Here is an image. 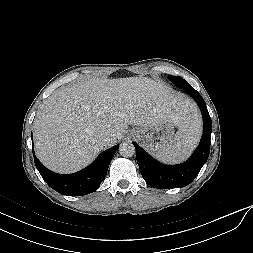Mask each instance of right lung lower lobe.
I'll list each match as a JSON object with an SVG mask.
<instances>
[{
  "instance_id": "1",
  "label": "right lung lower lobe",
  "mask_w": 253,
  "mask_h": 253,
  "mask_svg": "<svg viewBox=\"0 0 253 253\" xmlns=\"http://www.w3.org/2000/svg\"><path fill=\"white\" fill-rule=\"evenodd\" d=\"M118 147L119 145H116L102 152L87 168L77 173L63 175L50 171L36 158L32 139L34 162L40 175L55 191L69 196H82L97 190L106 177L109 164Z\"/></svg>"
}]
</instances>
